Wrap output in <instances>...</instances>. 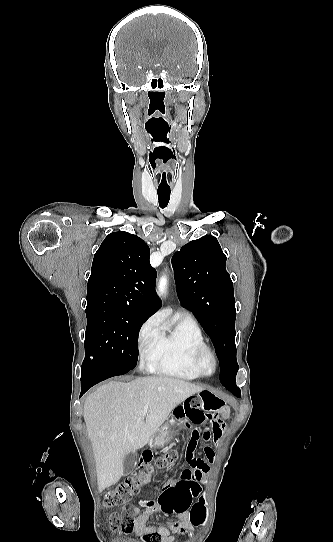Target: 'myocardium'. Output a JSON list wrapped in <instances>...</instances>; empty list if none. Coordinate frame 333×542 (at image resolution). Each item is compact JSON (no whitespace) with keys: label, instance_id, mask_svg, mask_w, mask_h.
Returning <instances> with one entry per match:
<instances>
[{"label":"myocardium","instance_id":"myocardium-1","mask_svg":"<svg viewBox=\"0 0 333 542\" xmlns=\"http://www.w3.org/2000/svg\"><path fill=\"white\" fill-rule=\"evenodd\" d=\"M201 236H203V235H200L199 238H201ZM205 357H209L211 359L212 370L210 372H206L203 369V360H204ZM192 364H193L196 372L200 376H205V377L212 376L216 372V370L218 368V361H217L216 354L206 344H203V345L197 347L194 350V353H193V356H192Z\"/></svg>","mask_w":333,"mask_h":542}]
</instances>
